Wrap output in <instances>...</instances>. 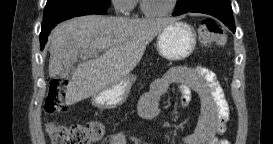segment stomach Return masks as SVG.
Returning <instances> with one entry per match:
<instances>
[{
	"label": "stomach",
	"instance_id": "0dacf381",
	"mask_svg": "<svg viewBox=\"0 0 273 144\" xmlns=\"http://www.w3.org/2000/svg\"><path fill=\"white\" fill-rule=\"evenodd\" d=\"M196 46V32L186 22L175 21L167 25L157 36L159 54L172 61L187 58ZM134 75H127L118 83L92 97V104L100 109H111L122 105L128 98Z\"/></svg>",
	"mask_w": 273,
	"mask_h": 144
}]
</instances>
